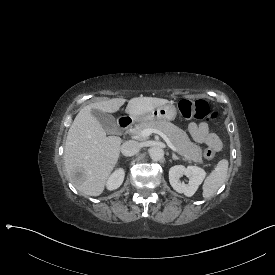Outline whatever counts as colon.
I'll return each mask as SVG.
<instances>
[{"label": "colon", "instance_id": "colon-1", "mask_svg": "<svg viewBox=\"0 0 275 275\" xmlns=\"http://www.w3.org/2000/svg\"><path fill=\"white\" fill-rule=\"evenodd\" d=\"M179 111L183 118L194 119L196 121L210 122L219 117V111H212L210 105L205 100L183 99L179 104ZM203 157L211 160L215 157V151L212 148H206L203 151Z\"/></svg>", "mask_w": 275, "mask_h": 275}]
</instances>
